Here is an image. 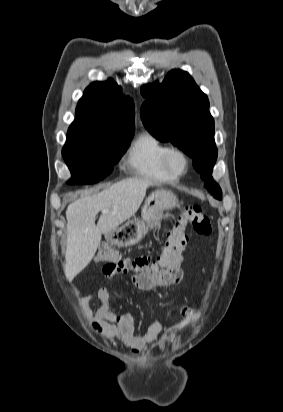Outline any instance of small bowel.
<instances>
[{
  "label": "small bowel",
  "instance_id": "small-bowel-1",
  "mask_svg": "<svg viewBox=\"0 0 283 412\" xmlns=\"http://www.w3.org/2000/svg\"><path fill=\"white\" fill-rule=\"evenodd\" d=\"M131 273L130 279L132 285L142 291L150 290L157 286L179 284L183 280L184 271L181 267V255L178 254L172 265L164 272L154 276H146L137 272H124L121 274ZM112 277L114 275H108ZM93 295L85 294L80 298V307L85 316L91 319L95 325L104 331L108 338L117 337L122 340L128 347L137 350L145 344L157 340L161 333L162 325L157 319L153 320L143 331H137L135 318L130 312H115L111 310V297L106 286H100L97 290L99 306L95 312L89 308V303ZM184 317L192 320L199 318V313L191 307H185L182 310Z\"/></svg>",
  "mask_w": 283,
  "mask_h": 412
}]
</instances>
